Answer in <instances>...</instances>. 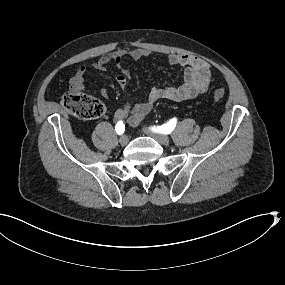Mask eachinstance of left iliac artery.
I'll use <instances>...</instances> for the list:
<instances>
[{"label": "left iliac artery", "instance_id": "1", "mask_svg": "<svg viewBox=\"0 0 285 285\" xmlns=\"http://www.w3.org/2000/svg\"><path fill=\"white\" fill-rule=\"evenodd\" d=\"M176 122H177L176 118H173L166 124H163V125L157 126V127H155V126L152 127V130L154 132H159L162 134H170L174 130V128L176 126Z\"/></svg>", "mask_w": 285, "mask_h": 285}]
</instances>
